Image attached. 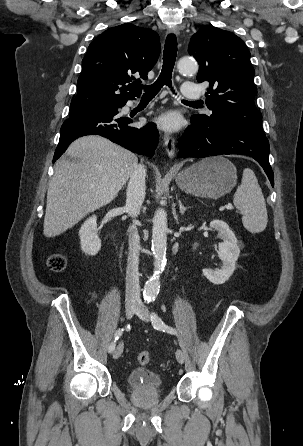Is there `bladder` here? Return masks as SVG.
Listing matches in <instances>:
<instances>
[{
	"instance_id": "bladder-1",
	"label": "bladder",
	"mask_w": 303,
	"mask_h": 446,
	"mask_svg": "<svg viewBox=\"0 0 303 446\" xmlns=\"http://www.w3.org/2000/svg\"><path fill=\"white\" fill-rule=\"evenodd\" d=\"M126 383L132 389L159 390L163 385V380L154 371L134 368L127 374Z\"/></svg>"
}]
</instances>
